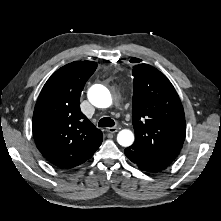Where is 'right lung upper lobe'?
<instances>
[{
  "mask_svg": "<svg viewBox=\"0 0 221 221\" xmlns=\"http://www.w3.org/2000/svg\"><path fill=\"white\" fill-rule=\"evenodd\" d=\"M96 68L93 61L61 67L45 83L36 102L32 120L36 146L61 169L83 164L102 143L101 130L80 111V94Z\"/></svg>",
  "mask_w": 221,
  "mask_h": 221,
  "instance_id": "right-lung-upper-lobe-1",
  "label": "right lung upper lobe"
}]
</instances>
